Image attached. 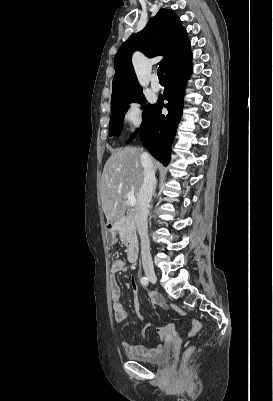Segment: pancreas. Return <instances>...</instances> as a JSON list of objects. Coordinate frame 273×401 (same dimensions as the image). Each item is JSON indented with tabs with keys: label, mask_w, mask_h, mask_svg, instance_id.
<instances>
[{
	"label": "pancreas",
	"mask_w": 273,
	"mask_h": 401,
	"mask_svg": "<svg viewBox=\"0 0 273 401\" xmlns=\"http://www.w3.org/2000/svg\"><path fill=\"white\" fill-rule=\"evenodd\" d=\"M117 231H119L120 241H126L127 239V227L124 223H117Z\"/></svg>",
	"instance_id": "obj_1"
}]
</instances>
